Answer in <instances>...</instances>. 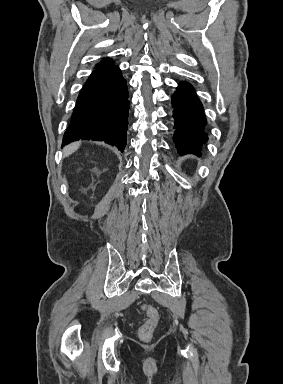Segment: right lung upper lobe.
<instances>
[{
  "mask_svg": "<svg viewBox=\"0 0 283 384\" xmlns=\"http://www.w3.org/2000/svg\"><path fill=\"white\" fill-rule=\"evenodd\" d=\"M112 64H114V61H113L112 59L105 58V59H103L101 62H99V63L95 66V69H96V68L105 67V66H108V65H112Z\"/></svg>",
  "mask_w": 283,
  "mask_h": 384,
  "instance_id": "cb5924a9",
  "label": "right lung upper lobe"
}]
</instances>
